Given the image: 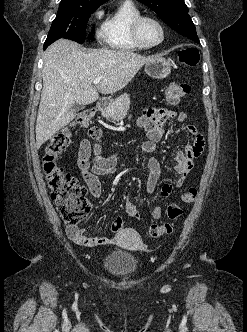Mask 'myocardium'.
<instances>
[{"label":"myocardium","instance_id":"f54148a6","mask_svg":"<svg viewBox=\"0 0 247 332\" xmlns=\"http://www.w3.org/2000/svg\"><path fill=\"white\" fill-rule=\"evenodd\" d=\"M145 20H152V21H154L158 25V27H159V29L161 31V38H160V40L158 42L154 43V44H147L141 38L140 27H141V24ZM131 32H132V36H133V39L135 40V42L137 44H139L142 48H145V49L154 48V47L160 45L164 41V39H165V28H164L162 22L158 18H156L154 16H151V15H140L139 17H137L134 20L133 24H132Z\"/></svg>","mask_w":247,"mask_h":332}]
</instances>
